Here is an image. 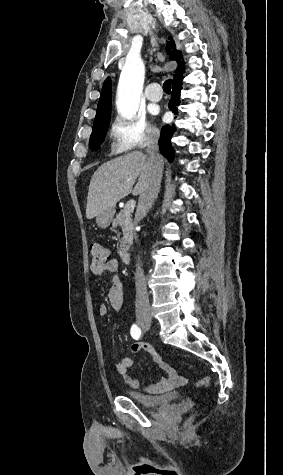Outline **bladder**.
Segmentation results:
<instances>
[{"label":"bladder","mask_w":283,"mask_h":475,"mask_svg":"<svg viewBox=\"0 0 283 475\" xmlns=\"http://www.w3.org/2000/svg\"><path fill=\"white\" fill-rule=\"evenodd\" d=\"M126 396L133 402L141 405L142 408L148 410L153 409L161 404H178V400L180 398V394L173 392L165 393L161 396H150L133 389L126 390Z\"/></svg>","instance_id":"31cf9c89"}]
</instances>
